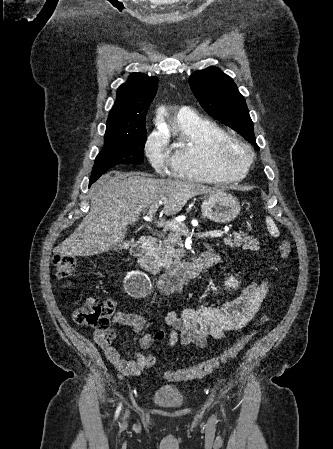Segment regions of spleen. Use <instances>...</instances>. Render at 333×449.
Wrapping results in <instances>:
<instances>
[{
	"label": "spleen",
	"mask_w": 333,
	"mask_h": 449,
	"mask_svg": "<svg viewBox=\"0 0 333 449\" xmlns=\"http://www.w3.org/2000/svg\"><path fill=\"white\" fill-rule=\"evenodd\" d=\"M266 224L268 226V230L269 232L274 235L277 236L279 234V230L275 224V222L273 221V219L271 217H267L266 218Z\"/></svg>",
	"instance_id": "1"
}]
</instances>
